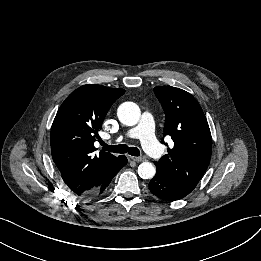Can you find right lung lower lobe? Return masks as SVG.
Returning <instances> with one entry per match:
<instances>
[{"label": "right lung lower lobe", "mask_w": 261, "mask_h": 261, "mask_svg": "<svg viewBox=\"0 0 261 261\" xmlns=\"http://www.w3.org/2000/svg\"><path fill=\"white\" fill-rule=\"evenodd\" d=\"M127 164V158L125 156H120L118 160L115 162L113 167L108 172L107 176L105 177L104 181L101 183L100 186L95 188L91 191L85 198H92L95 196H99L102 194L110 184L113 177L119 172V170Z\"/></svg>", "instance_id": "1"}]
</instances>
